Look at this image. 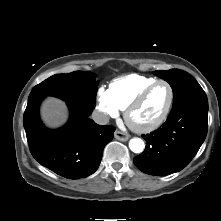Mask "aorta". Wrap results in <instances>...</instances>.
Returning <instances> with one entry per match:
<instances>
[{
  "mask_svg": "<svg viewBox=\"0 0 221 221\" xmlns=\"http://www.w3.org/2000/svg\"><path fill=\"white\" fill-rule=\"evenodd\" d=\"M144 142L140 138H133L129 142V148L134 153H141L144 150Z\"/></svg>",
  "mask_w": 221,
  "mask_h": 221,
  "instance_id": "aorta-1",
  "label": "aorta"
}]
</instances>
